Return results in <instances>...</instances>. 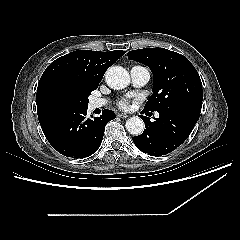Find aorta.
<instances>
[{
    "label": "aorta",
    "instance_id": "1",
    "mask_svg": "<svg viewBox=\"0 0 240 240\" xmlns=\"http://www.w3.org/2000/svg\"><path fill=\"white\" fill-rule=\"evenodd\" d=\"M105 79L107 85L116 90L127 87L130 82L129 73L121 66L110 67L105 74ZM125 127L130 134L138 136L143 133L145 125L141 118L133 116L126 121Z\"/></svg>",
    "mask_w": 240,
    "mask_h": 240
}]
</instances>
